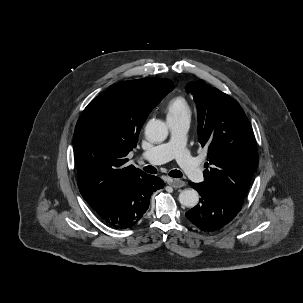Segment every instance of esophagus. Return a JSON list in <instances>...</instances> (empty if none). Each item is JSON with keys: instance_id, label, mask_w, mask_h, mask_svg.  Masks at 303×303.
<instances>
[{"instance_id": "obj_1", "label": "esophagus", "mask_w": 303, "mask_h": 303, "mask_svg": "<svg viewBox=\"0 0 303 303\" xmlns=\"http://www.w3.org/2000/svg\"><path fill=\"white\" fill-rule=\"evenodd\" d=\"M167 183L173 188H181L185 186V182L180 179L168 178Z\"/></svg>"}]
</instances>
